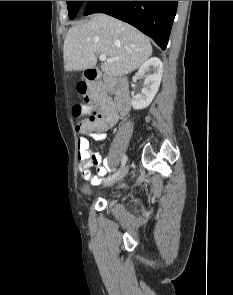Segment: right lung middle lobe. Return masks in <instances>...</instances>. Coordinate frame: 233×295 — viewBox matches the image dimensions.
I'll use <instances>...</instances> for the list:
<instances>
[{
	"instance_id": "right-lung-middle-lobe-1",
	"label": "right lung middle lobe",
	"mask_w": 233,
	"mask_h": 295,
	"mask_svg": "<svg viewBox=\"0 0 233 295\" xmlns=\"http://www.w3.org/2000/svg\"><path fill=\"white\" fill-rule=\"evenodd\" d=\"M66 2H67L68 11H69V18L73 19L76 16L81 4L84 1H66Z\"/></svg>"
}]
</instances>
